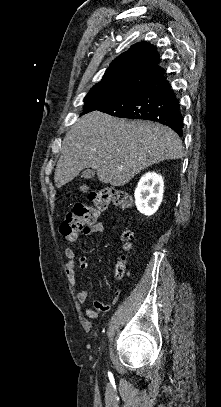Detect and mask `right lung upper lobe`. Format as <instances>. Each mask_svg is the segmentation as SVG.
<instances>
[{
  "label": "right lung upper lobe",
  "mask_w": 221,
  "mask_h": 407,
  "mask_svg": "<svg viewBox=\"0 0 221 407\" xmlns=\"http://www.w3.org/2000/svg\"><path fill=\"white\" fill-rule=\"evenodd\" d=\"M159 61V53L152 44L138 42L112 61L95 87L124 89L136 84L142 86L164 71Z\"/></svg>",
  "instance_id": "obj_1"
}]
</instances>
